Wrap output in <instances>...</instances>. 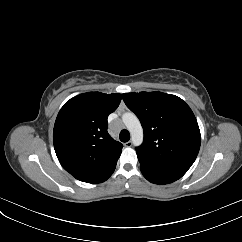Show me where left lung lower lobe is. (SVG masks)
Returning <instances> with one entry per match:
<instances>
[{
  "instance_id": "left-lung-lower-lobe-1",
  "label": "left lung lower lobe",
  "mask_w": 242,
  "mask_h": 242,
  "mask_svg": "<svg viewBox=\"0 0 242 242\" xmlns=\"http://www.w3.org/2000/svg\"><path fill=\"white\" fill-rule=\"evenodd\" d=\"M140 169L144 177L155 184H168L181 178L185 173L178 172L171 169L161 168L146 163L139 158Z\"/></svg>"
}]
</instances>
